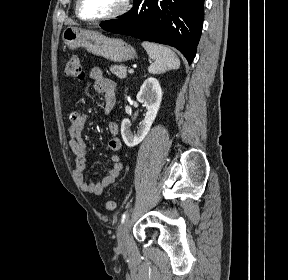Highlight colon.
Instances as JSON below:
<instances>
[{
  "label": "colon",
  "mask_w": 288,
  "mask_h": 280,
  "mask_svg": "<svg viewBox=\"0 0 288 280\" xmlns=\"http://www.w3.org/2000/svg\"><path fill=\"white\" fill-rule=\"evenodd\" d=\"M64 73L67 77L73 79H83V70L80 64V60L77 56H72L66 63ZM116 208V203L113 200L105 202V209L107 211H113Z\"/></svg>",
  "instance_id": "colon-1"
}]
</instances>
